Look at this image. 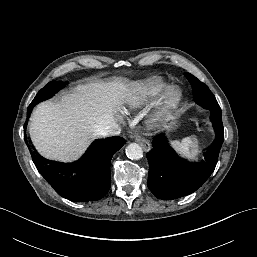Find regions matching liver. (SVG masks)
Here are the masks:
<instances>
[{"label": "liver", "instance_id": "obj_1", "mask_svg": "<svg viewBox=\"0 0 257 257\" xmlns=\"http://www.w3.org/2000/svg\"><path fill=\"white\" fill-rule=\"evenodd\" d=\"M135 88L122 80L78 85L58 102L40 104L30 119L29 134L38 152L59 161L75 159L89 139L114 122L123 99Z\"/></svg>", "mask_w": 257, "mask_h": 257}]
</instances>
